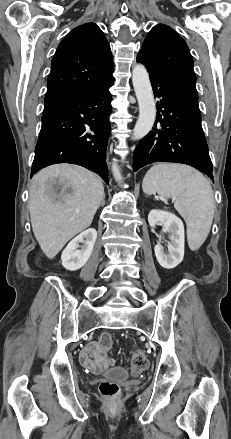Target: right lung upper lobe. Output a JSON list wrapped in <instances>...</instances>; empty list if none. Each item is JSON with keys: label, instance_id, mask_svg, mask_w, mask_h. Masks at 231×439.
<instances>
[{"label": "right lung upper lobe", "instance_id": "right-lung-upper-lobe-1", "mask_svg": "<svg viewBox=\"0 0 231 439\" xmlns=\"http://www.w3.org/2000/svg\"><path fill=\"white\" fill-rule=\"evenodd\" d=\"M114 71L110 46L94 23L73 29L60 42L47 80V112L69 99L107 84Z\"/></svg>", "mask_w": 231, "mask_h": 439}]
</instances>
